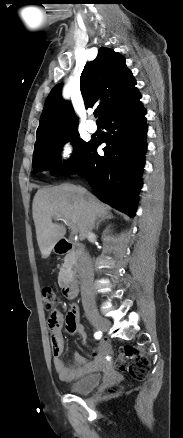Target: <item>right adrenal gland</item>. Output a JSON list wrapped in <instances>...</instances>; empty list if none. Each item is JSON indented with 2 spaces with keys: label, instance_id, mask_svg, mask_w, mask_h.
Listing matches in <instances>:
<instances>
[{
  "label": "right adrenal gland",
  "instance_id": "2a0ac1e0",
  "mask_svg": "<svg viewBox=\"0 0 183 438\" xmlns=\"http://www.w3.org/2000/svg\"><path fill=\"white\" fill-rule=\"evenodd\" d=\"M112 218H114V217H113V215H112L111 213H109V212L103 214L102 216H100V219L98 220L95 229L98 230L99 225H100V223H101L102 221H104V220H106V219H112Z\"/></svg>",
  "mask_w": 183,
  "mask_h": 438
}]
</instances>
